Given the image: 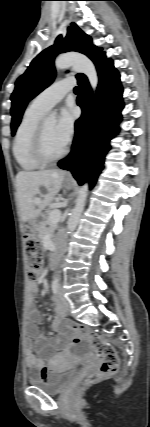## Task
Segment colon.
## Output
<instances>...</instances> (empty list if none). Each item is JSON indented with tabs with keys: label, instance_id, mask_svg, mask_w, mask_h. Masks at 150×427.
Listing matches in <instances>:
<instances>
[{
	"label": "colon",
	"instance_id": "colon-1",
	"mask_svg": "<svg viewBox=\"0 0 150 427\" xmlns=\"http://www.w3.org/2000/svg\"><path fill=\"white\" fill-rule=\"evenodd\" d=\"M23 241L26 251V272L27 277L34 281L39 278L42 266V248L31 229H26ZM75 336V341L86 343L91 351L100 359L99 369L89 375L85 382L93 384L102 378L112 376L119 369V357L114 346L105 338L98 335L88 334L82 327L70 323L67 329Z\"/></svg>",
	"mask_w": 150,
	"mask_h": 427
}]
</instances>
